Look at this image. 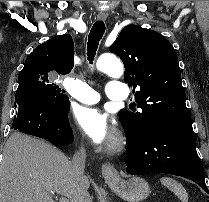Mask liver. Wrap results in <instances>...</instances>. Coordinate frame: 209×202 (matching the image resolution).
<instances>
[{
	"instance_id": "1",
	"label": "liver",
	"mask_w": 209,
	"mask_h": 202,
	"mask_svg": "<svg viewBox=\"0 0 209 202\" xmlns=\"http://www.w3.org/2000/svg\"><path fill=\"white\" fill-rule=\"evenodd\" d=\"M88 189L90 182L84 176ZM71 161L46 141L22 133L6 142L0 164V202H54L50 190L76 202Z\"/></svg>"
}]
</instances>
